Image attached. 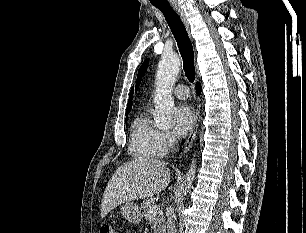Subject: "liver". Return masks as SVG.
<instances>
[{
    "label": "liver",
    "mask_w": 306,
    "mask_h": 233,
    "mask_svg": "<svg viewBox=\"0 0 306 233\" xmlns=\"http://www.w3.org/2000/svg\"><path fill=\"white\" fill-rule=\"evenodd\" d=\"M170 179L166 163L153 158H136L120 166L105 188L101 217L120 204L160 193L169 185Z\"/></svg>",
    "instance_id": "1"
}]
</instances>
